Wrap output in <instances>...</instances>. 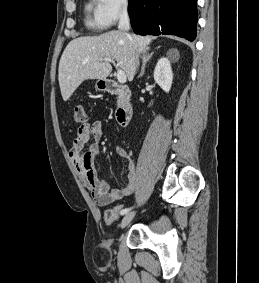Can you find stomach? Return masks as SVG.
<instances>
[{
    "label": "stomach",
    "mask_w": 259,
    "mask_h": 283,
    "mask_svg": "<svg viewBox=\"0 0 259 283\" xmlns=\"http://www.w3.org/2000/svg\"><path fill=\"white\" fill-rule=\"evenodd\" d=\"M96 89L99 91H105L107 87V83L105 80H98L95 85Z\"/></svg>",
    "instance_id": "0dacf381"
}]
</instances>
